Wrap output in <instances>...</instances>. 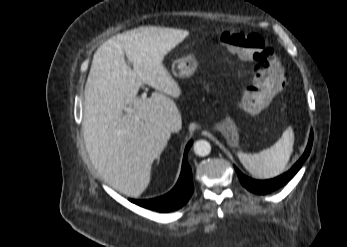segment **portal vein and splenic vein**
<instances>
[{"mask_svg":"<svg viewBox=\"0 0 347 247\" xmlns=\"http://www.w3.org/2000/svg\"><path fill=\"white\" fill-rule=\"evenodd\" d=\"M146 97H147V94L145 92L142 93L141 101H144L146 99ZM125 111H126V113L131 114V113H133L134 110L132 107H128V108H125Z\"/></svg>","mask_w":347,"mask_h":247,"instance_id":"18ae733b","label":"portal vein and splenic vein"}]
</instances>
